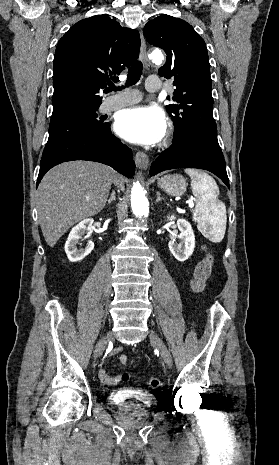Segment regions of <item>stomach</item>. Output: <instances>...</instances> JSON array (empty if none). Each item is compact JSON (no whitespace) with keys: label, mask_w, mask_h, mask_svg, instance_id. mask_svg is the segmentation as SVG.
Masks as SVG:
<instances>
[{"label":"stomach","mask_w":279,"mask_h":465,"mask_svg":"<svg viewBox=\"0 0 279 465\" xmlns=\"http://www.w3.org/2000/svg\"><path fill=\"white\" fill-rule=\"evenodd\" d=\"M158 186L171 196H181L186 191L187 183L183 176L173 174L159 179Z\"/></svg>","instance_id":"0dacf381"}]
</instances>
